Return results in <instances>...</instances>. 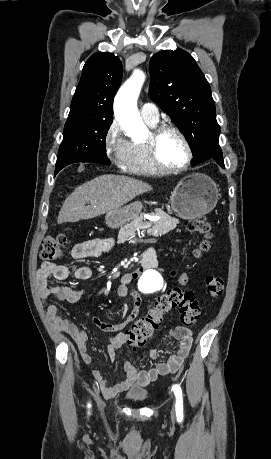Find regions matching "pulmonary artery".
<instances>
[{
    "label": "pulmonary artery",
    "mask_w": 271,
    "mask_h": 459,
    "mask_svg": "<svg viewBox=\"0 0 271 459\" xmlns=\"http://www.w3.org/2000/svg\"><path fill=\"white\" fill-rule=\"evenodd\" d=\"M140 114L144 120L149 123L157 124L159 122V109L153 103H145L140 108Z\"/></svg>",
    "instance_id": "e3ab8cb5"
}]
</instances>
